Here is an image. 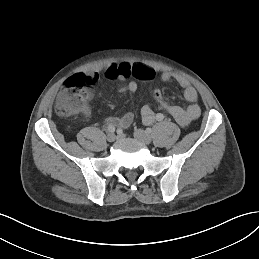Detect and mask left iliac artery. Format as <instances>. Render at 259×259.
<instances>
[{
    "instance_id": "44dca946",
    "label": "left iliac artery",
    "mask_w": 259,
    "mask_h": 259,
    "mask_svg": "<svg viewBox=\"0 0 259 259\" xmlns=\"http://www.w3.org/2000/svg\"><path fill=\"white\" fill-rule=\"evenodd\" d=\"M164 119V115L162 113H157L156 114V120L157 121H163Z\"/></svg>"
}]
</instances>
